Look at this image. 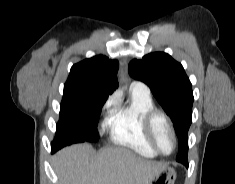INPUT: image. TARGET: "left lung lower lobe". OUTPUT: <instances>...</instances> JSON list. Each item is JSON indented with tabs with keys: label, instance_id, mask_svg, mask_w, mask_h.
<instances>
[{
	"label": "left lung lower lobe",
	"instance_id": "0a47b994",
	"mask_svg": "<svg viewBox=\"0 0 235 184\" xmlns=\"http://www.w3.org/2000/svg\"><path fill=\"white\" fill-rule=\"evenodd\" d=\"M186 167H188V162L184 164Z\"/></svg>",
	"mask_w": 235,
	"mask_h": 184
}]
</instances>
